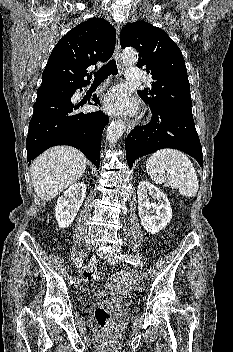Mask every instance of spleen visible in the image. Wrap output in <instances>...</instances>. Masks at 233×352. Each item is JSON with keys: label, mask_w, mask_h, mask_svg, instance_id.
I'll return each mask as SVG.
<instances>
[{"label": "spleen", "mask_w": 233, "mask_h": 352, "mask_svg": "<svg viewBox=\"0 0 233 352\" xmlns=\"http://www.w3.org/2000/svg\"><path fill=\"white\" fill-rule=\"evenodd\" d=\"M146 171L157 184L178 189L180 195L194 197L199 189L196 171L190 159L181 151L161 149L146 162Z\"/></svg>", "instance_id": "spleen-1"}]
</instances>
